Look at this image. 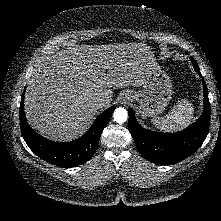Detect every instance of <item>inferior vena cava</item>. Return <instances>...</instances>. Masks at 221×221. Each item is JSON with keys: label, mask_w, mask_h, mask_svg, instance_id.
<instances>
[{"label": "inferior vena cava", "mask_w": 221, "mask_h": 221, "mask_svg": "<svg viewBox=\"0 0 221 221\" xmlns=\"http://www.w3.org/2000/svg\"><path fill=\"white\" fill-rule=\"evenodd\" d=\"M95 107L96 108H102L105 105V100L104 98H99L95 101Z\"/></svg>", "instance_id": "1"}]
</instances>
